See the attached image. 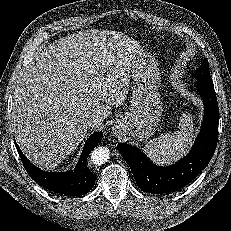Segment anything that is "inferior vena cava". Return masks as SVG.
Instances as JSON below:
<instances>
[{"instance_id": "inferior-vena-cava-1", "label": "inferior vena cava", "mask_w": 231, "mask_h": 231, "mask_svg": "<svg viewBox=\"0 0 231 231\" xmlns=\"http://www.w3.org/2000/svg\"><path fill=\"white\" fill-rule=\"evenodd\" d=\"M86 125L88 127L100 126L102 124V120L94 117H90L86 120Z\"/></svg>"}]
</instances>
